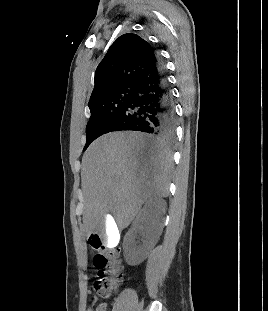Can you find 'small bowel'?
I'll return each instance as SVG.
<instances>
[{"label": "small bowel", "instance_id": "c3829d8e", "mask_svg": "<svg viewBox=\"0 0 268 311\" xmlns=\"http://www.w3.org/2000/svg\"><path fill=\"white\" fill-rule=\"evenodd\" d=\"M86 311H93V310H92V308L89 307Z\"/></svg>", "mask_w": 268, "mask_h": 311}]
</instances>
